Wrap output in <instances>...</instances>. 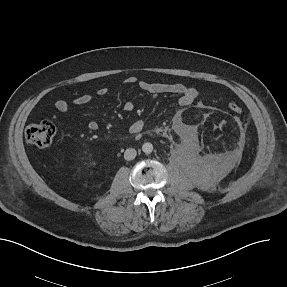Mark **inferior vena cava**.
<instances>
[{
  "instance_id": "1",
  "label": "inferior vena cava",
  "mask_w": 287,
  "mask_h": 287,
  "mask_svg": "<svg viewBox=\"0 0 287 287\" xmlns=\"http://www.w3.org/2000/svg\"><path fill=\"white\" fill-rule=\"evenodd\" d=\"M136 150L133 148H128L124 152V159L127 161L133 160L136 157Z\"/></svg>"
}]
</instances>
